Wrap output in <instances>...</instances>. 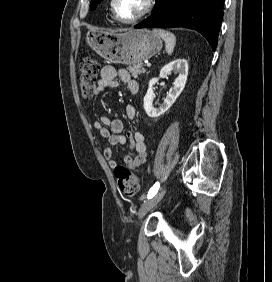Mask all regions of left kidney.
I'll return each instance as SVG.
<instances>
[{
	"label": "left kidney",
	"instance_id": "1",
	"mask_svg": "<svg viewBox=\"0 0 272 282\" xmlns=\"http://www.w3.org/2000/svg\"><path fill=\"white\" fill-rule=\"evenodd\" d=\"M171 72L178 73V77L174 82L173 88L167 93L166 98L163 103L158 108L152 106V101L155 97L154 85L158 82L160 78H167ZM188 76V62L185 59H176L168 64H166L160 71L158 78H152L149 81V87L147 93L144 97V110L147 115L151 118H157L164 114L176 101L179 95L182 93Z\"/></svg>",
	"mask_w": 272,
	"mask_h": 282
}]
</instances>
